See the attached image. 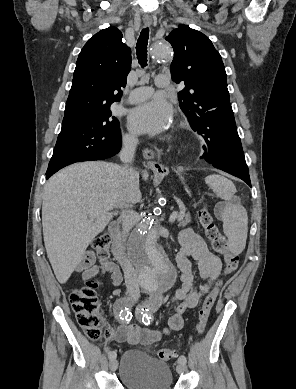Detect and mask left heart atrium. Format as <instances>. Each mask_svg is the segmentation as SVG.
Here are the masks:
<instances>
[{"label":"left heart atrium","mask_w":296,"mask_h":389,"mask_svg":"<svg viewBox=\"0 0 296 389\" xmlns=\"http://www.w3.org/2000/svg\"><path fill=\"white\" fill-rule=\"evenodd\" d=\"M171 119V104L163 97H156L132 108L128 125L137 134H157L169 127Z\"/></svg>","instance_id":"39dd6f15"}]
</instances>
